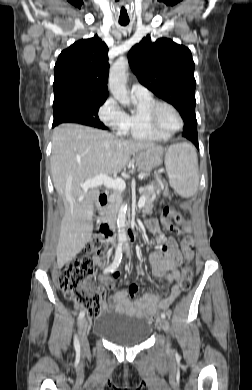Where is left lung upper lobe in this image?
<instances>
[{"label": "left lung upper lobe", "instance_id": "left-lung-upper-lobe-1", "mask_svg": "<svg viewBox=\"0 0 252 390\" xmlns=\"http://www.w3.org/2000/svg\"><path fill=\"white\" fill-rule=\"evenodd\" d=\"M139 82L172 104L187 119L195 116L194 61L190 50L168 38L151 42L150 36L128 53Z\"/></svg>", "mask_w": 252, "mask_h": 390}]
</instances>
